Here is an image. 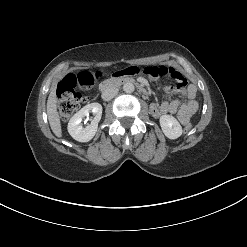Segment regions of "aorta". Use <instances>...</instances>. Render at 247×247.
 <instances>
[{
	"instance_id": "1",
	"label": "aorta",
	"mask_w": 247,
	"mask_h": 247,
	"mask_svg": "<svg viewBox=\"0 0 247 247\" xmlns=\"http://www.w3.org/2000/svg\"><path fill=\"white\" fill-rule=\"evenodd\" d=\"M123 90L126 93H132L135 90V87L132 83L128 82L123 85Z\"/></svg>"
}]
</instances>
